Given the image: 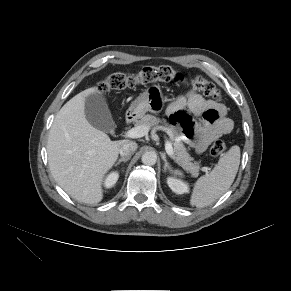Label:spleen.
Masks as SVG:
<instances>
[{
	"instance_id": "spleen-1",
	"label": "spleen",
	"mask_w": 291,
	"mask_h": 291,
	"mask_svg": "<svg viewBox=\"0 0 291 291\" xmlns=\"http://www.w3.org/2000/svg\"><path fill=\"white\" fill-rule=\"evenodd\" d=\"M240 164V147L235 145L219 159L213 170L200 177L193 188L190 204L203 208L224 195L232 185ZM175 174L182 176L179 170Z\"/></svg>"
}]
</instances>
